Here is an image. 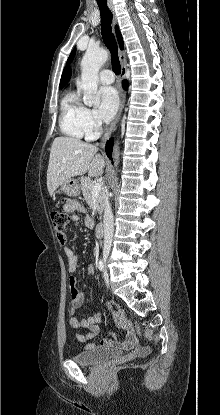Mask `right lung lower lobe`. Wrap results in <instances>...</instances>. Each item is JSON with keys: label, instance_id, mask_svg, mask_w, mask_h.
I'll list each match as a JSON object with an SVG mask.
<instances>
[{"label": "right lung lower lobe", "instance_id": "obj_1", "mask_svg": "<svg viewBox=\"0 0 220 415\" xmlns=\"http://www.w3.org/2000/svg\"><path fill=\"white\" fill-rule=\"evenodd\" d=\"M123 87L126 88L127 87V81H123ZM112 148H113V138H111L109 141H107L106 143V154L109 158H111V154H112Z\"/></svg>", "mask_w": 220, "mask_h": 415}]
</instances>
